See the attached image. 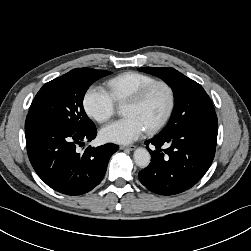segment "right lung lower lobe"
Returning a JSON list of instances; mask_svg holds the SVG:
<instances>
[{"label": "right lung lower lobe", "instance_id": "right-lung-lower-lobe-1", "mask_svg": "<svg viewBox=\"0 0 251 251\" xmlns=\"http://www.w3.org/2000/svg\"><path fill=\"white\" fill-rule=\"evenodd\" d=\"M96 134V128L80 133L37 118L25 122L27 152L35 172L49 187L67 195H81L96 187L119 149L108 143L89 146L80 154L76 147Z\"/></svg>", "mask_w": 251, "mask_h": 251}]
</instances>
